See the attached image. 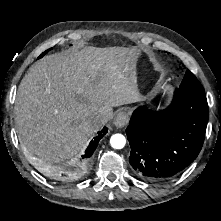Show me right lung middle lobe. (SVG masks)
Listing matches in <instances>:
<instances>
[{
  "label": "right lung middle lobe",
  "instance_id": "right-lung-middle-lobe-1",
  "mask_svg": "<svg viewBox=\"0 0 221 221\" xmlns=\"http://www.w3.org/2000/svg\"><path fill=\"white\" fill-rule=\"evenodd\" d=\"M50 49H48V50H46L45 52H43V54H41L40 56H39V58H41L45 53H47L48 51H49Z\"/></svg>",
  "mask_w": 221,
  "mask_h": 221
}]
</instances>
